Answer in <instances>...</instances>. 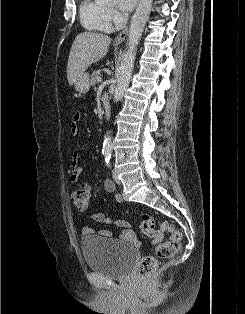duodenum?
<instances>
[{"label": "duodenum", "instance_id": "410a0bca", "mask_svg": "<svg viewBox=\"0 0 245 314\" xmlns=\"http://www.w3.org/2000/svg\"><path fill=\"white\" fill-rule=\"evenodd\" d=\"M101 102L104 110V116L106 119H109L112 111L109 97L106 95L102 96Z\"/></svg>", "mask_w": 245, "mask_h": 314}]
</instances>
